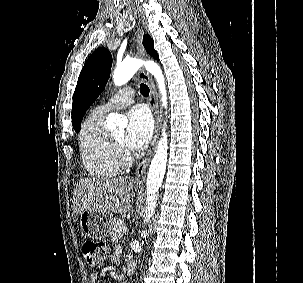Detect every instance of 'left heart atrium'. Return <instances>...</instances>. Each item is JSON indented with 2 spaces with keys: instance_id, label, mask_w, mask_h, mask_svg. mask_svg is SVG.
<instances>
[{
  "instance_id": "obj_1",
  "label": "left heart atrium",
  "mask_w": 303,
  "mask_h": 283,
  "mask_svg": "<svg viewBox=\"0 0 303 283\" xmlns=\"http://www.w3.org/2000/svg\"><path fill=\"white\" fill-rule=\"evenodd\" d=\"M127 119L124 142L130 150L138 151L147 145L152 136V118L145 107L135 106L128 112Z\"/></svg>"
}]
</instances>
